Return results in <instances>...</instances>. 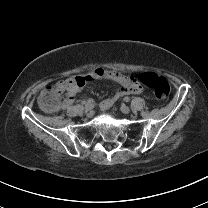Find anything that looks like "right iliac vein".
Here are the masks:
<instances>
[{
    "label": "right iliac vein",
    "instance_id": "1",
    "mask_svg": "<svg viewBox=\"0 0 208 208\" xmlns=\"http://www.w3.org/2000/svg\"><path fill=\"white\" fill-rule=\"evenodd\" d=\"M92 111V105L91 104H86L85 105V112L90 113Z\"/></svg>",
    "mask_w": 208,
    "mask_h": 208
}]
</instances>
